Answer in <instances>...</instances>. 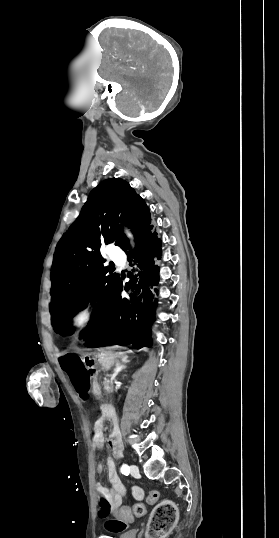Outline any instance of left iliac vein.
Here are the masks:
<instances>
[{"label":"left iliac vein","instance_id":"1","mask_svg":"<svg viewBox=\"0 0 279 538\" xmlns=\"http://www.w3.org/2000/svg\"><path fill=\"white\" fill-rule=\"evenodd\" d=\"M130 474L132 476H137L139 474V468L136 465L132 464L130 466Z\"/></svg>","mask_w":279,"mask_h":538}]
</instances>
